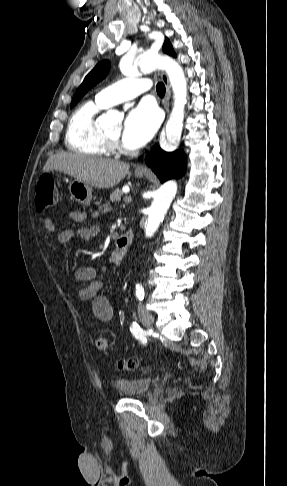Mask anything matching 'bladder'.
<instances>
[{
    "instance_id": "1",
    "label": "bladder",
    "mask_w": 287,
    "mask_h": 486,
    "mask_svg": "<svg viewBox=\"0 0 287 486\" xmlns=\"http://www.w3.org/2000/svg\"><path fill=\"white\" fill-rule=\"evenodd\" d=\"M114 386L120 394L135 397L148 392L151 380L144 377L117 378L114 380Z\"/></svg>"
}]
</instances>
